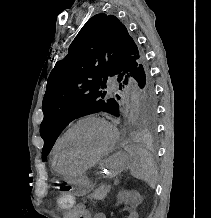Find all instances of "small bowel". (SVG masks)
Wrapping results in <instances>:
<instances>
[{
	"label": "small bowel",
	"instance_id": "small-bowel-1",
	"mask_svg": "<svg viewBox=\"0 0 211 218\" xmlns=\"http://www.w3.org/2000/svg\"><path fill=\"white\" fill-rule=\"evenodd\" d=\"M127 214L125 215L124 218H137L138 214L135 209L131 208H126ZM70 217H75V218H91V215L87 208L80 204L77 205L71 212H70ZM94 218H106V215L104 213H98L94 216Z\"/></svg>",
	"mask_w": 211,
	"mask_h": 218
}]
</instances>
